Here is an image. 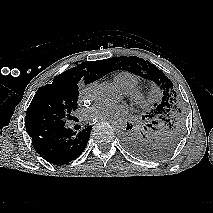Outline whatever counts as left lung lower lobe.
Segmentation results:
<instances>
[{"instance_id":"0a47b994","label":"left lung lower lobe","mask_w":213,"mask_h":213,"mask_svg":"<svg viewBox=\"0 0 213 213\" xmlns=\"http://www.w3.org/2000/svg\"><path fill=\"white\" fill-rule=\"evenodd\" d=\"M130 127H131V126L128 124V125H127V128L129 129Z\"/></svg>"}]
</instances>
